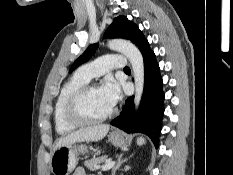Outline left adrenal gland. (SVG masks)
Returning a JSON list of instances; mask_svg holds the SVG:
<instances>
[{
	"mask_svg": "<svg viewBox=\"0 0 233 175\" xmlns=\"http://www.w3.org/2000/svg\"><path fill=\"white\" fill-rule=\"evenodd\" d=\"M128 160V158L122 159V157H120L118 159L117 164L114 166L113 170H112V175H115L116 170L121 166L122 163L126 162Z\"/></svg>",
	"mask_w": 233,
	"mask_h": 175,
	"instance_id": "left-adrenal-gland-1",
	"label": "left adrenal gland"
}]
</instances>
